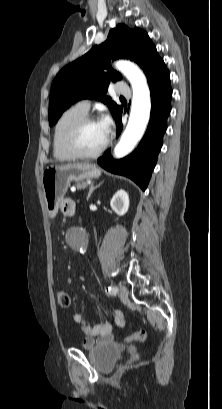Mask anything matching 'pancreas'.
Masks as SVG:
<instances>
[{"mask_svg": "<svg viewBox=\"0 0 222 409\" xmlns=\"http://www.w3.org/2000/svg\"><path fill=\"white\" fill-rule=\"evenodd\" d=\"M85 186H86V184H85L84 182L77 184V188H78V189H81V188H83V187H85Z\"/></svg>", "mask_w": 222, "mask_h": 409, "instance_id": "pancreas-1", "label": "pancreas"}]
</instances>
